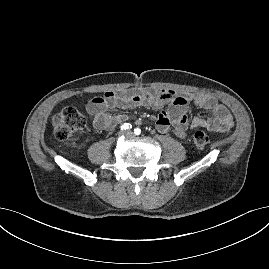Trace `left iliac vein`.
<instances>
[{
	"instance_id": "obj_1",
	"label": "left iliac vein",
	"mask_w": 269,
	"mask_h": 269,
	"mask_svg": "<svg viewBox=\"0 0 269 269\" xmlns=\"http://www.w3.org/2000/svg\"><path fill=\"white\" fill-rule=\"evenodd\" d=\"M126 134H127L128 136H132V135H133V133H132L131 131L126 132Z\"/></svg>"
}]
</instances>
